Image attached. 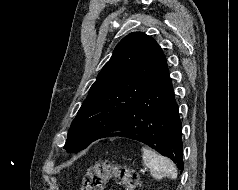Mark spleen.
<instances>
[{"label": "spleen", "mask_w": 238, "mask_h": 190, "mask_svg": "<svg viewBox=\"0 0 238 190\" xmlns=\"http://www.w3.org/2000/svg\"><path fill=\"white\" fill-rule=\"evenodd\" d=\"M142 151L143 162L150 168L151 175L155 179H161L163 177L177 178V169L170 159L159 155L149 148L144 147Z\"/></svg>", "instance_id": "1"}]
</instances>
